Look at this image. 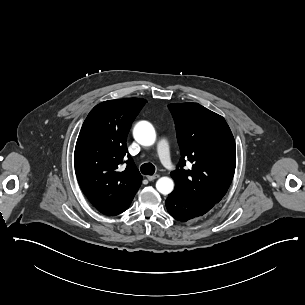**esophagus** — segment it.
<instances>
[{"mask_svg":"<svg viewBox=\"0 0 305 305\" xmlns=\"http://www.w3.org/2000/svg\"><path fill=\"white\" fill-rule=\"evenodd\" d=\"M159 177H160V175L156 174V175H152V176H147V179H148L149 181H153V180H155V179H157V178H159Z\"/></svg>","mask_w":305,"mask_h":305,"instance_id":"obj_1","label":"esophagus"}]
</instances>
